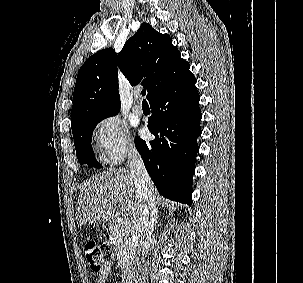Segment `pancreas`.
<instances>
[{
  "label": "pancreas",
  "instance_id": "1",
  "mask_svg": "<svg viewBox=\"0 0 303 283\" xmlns=\"http://www.w3.org/2000/svg\"><path fill=\"white\" fill-rule=\"evenodd\" d=\"M132 231L122 224L116 225L110 233L111 242L117 252L118 265L122 269H127L134 254V245L131 239Z\"/></svg>",
  "mask_w": 303,
  "mask_h": 283
}]
</instances>
